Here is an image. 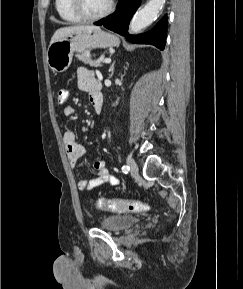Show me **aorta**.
I'll return each mask as SVG.
<instances>
[{
	"mask_svg": "<svg viewBox=\"0 0 243 289\" xmlns=\"http://www.w3.org/2000/svg\"><path fill=\"white\" fill-rule=\"evenodd\" d=\"M165 0H150L142 9L136 12L131 23L130 31L134 34L149 26L158 17Z\"/></svg>",
	"mask_w": 243,
	"mask_h": 289,
	"instance_id": "aorta-1",
	"label": "aorta"
}]
</instances>
